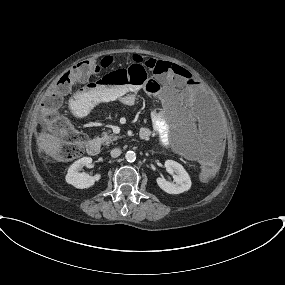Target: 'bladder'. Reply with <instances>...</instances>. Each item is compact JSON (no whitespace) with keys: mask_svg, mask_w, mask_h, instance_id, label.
I'll list each match as a JSON object with an SVG mask.
<instances>
[{"mask_svg":"<svg viewBox=\"0 0 285 285\" xmlns=\"http://www.w3.org/2000/svg\"><path fill=\"white\" fill-rule=\"evenodd\" d=\"M175 148L176 151L180 154V155H190L192 148L191 146H189L187 143L185 142H179L175 144Z\"/></svg>","mask_w":285,"mask_h":285,"instance_id":"obj_1","label":"bladder"}]
</instances>
